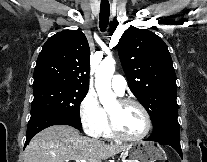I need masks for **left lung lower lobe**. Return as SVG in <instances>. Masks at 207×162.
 Segmentation results:
<instances>
[{
  "label": "left lung lower lobe",
  "instance_id": "obj_1",
  "mask_svg": "<svg viewBox=\"0 0 207 162\" xmlns=\"http://www.w3.org/2000/svg\"><path fill=\"white\" fill-rule=\"evenodd\" d=\"M155 141L163 145H170L182 157L180 146V126L177 117H168L154 126L152 135L145 139Z\"/></svg>",
  "mask_w": 207,
  "mask_h": 162
}]
</instances>
